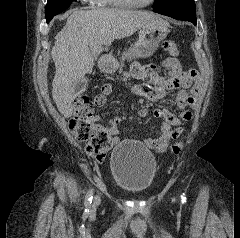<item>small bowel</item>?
Here are the masks:
<instances>
[{"mask_svg":"<svg viewBox=\"0 0 240 238\" xmlns=\"http://www.w3.org/2000/svg\"><path fill=\"white\" fill-rule=\"evenodd\" d=\"M160 71L166 72L168 77L164 78L161 76ZM132 73L135 76H149L148 83L132 87V92L150 100L164 101L167 91L181 89L175 99V106L180 111V115L176 116L166 108L155 109L153 112L154 116L157 118L162 117L164 121L157 131L156 138H148L143 141L149 149L159 153L164 152L170 140L180 136L183 122L190 120L193 116L192 111L186 108L194 106L197 102V96L200 91L199 75L193 69L183 71L179 61L174 58H168L160 65H148L145 67H141L136 63L132 66ZM112 91V84H104L100 89V93L94 97L93 103L95 106H104L107 97ZM138 114L140 117H146L148 109L141 108ZM89 121L93 124L97 123L100 121V116L91 115ZM120 124V117H113L108 121L107 132L110 136L108 147L119 142Z\"/></svg>","mask_w":240,"mask_h":238,"instance_id":"c3829d8e","label":"small bowel"}]
</instances>
